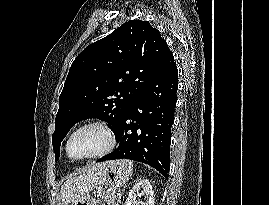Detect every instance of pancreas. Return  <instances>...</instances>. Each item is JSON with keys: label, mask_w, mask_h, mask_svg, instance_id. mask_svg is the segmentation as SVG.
I'll return each mask as SVG.
<instances>
[{"label": "pancreas", "mask_w": 269, "mask_h": 205, "mask_svg": "<svg viewBox=\"0 0 269 205\" xmlns=\"http://www.w3.org/2000/svg\"><path fill=\"white\" fill-rule=\"evenodd\" d=\"M120 203V197H116L114 200H112L108 205H119Z\"/></svg>", "instance_id": "cf45deb5"}]
</instances>
